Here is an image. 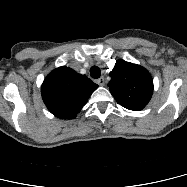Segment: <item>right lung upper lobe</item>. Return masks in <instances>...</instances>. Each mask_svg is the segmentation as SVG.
I'll return each mask as SVG.
<instances>
[{"instance_id":"obj_1","label":"right lung upper lobe","mask_w":187,"mask_h":187,"mask_svg":"<svg viewBox=\"0 0 187 187\" xmlns=\"http://www.w3.org/2000/svg\"><path fill=\"white\" fill-rule=\"evenodd\" d=\"M97 88L98 85L85 75L62 66L46 77L41 93L52 114L61 119H73Z\"/></svg>"}]
</instances>
